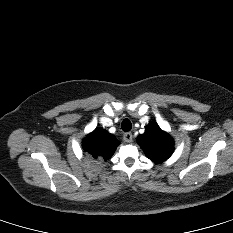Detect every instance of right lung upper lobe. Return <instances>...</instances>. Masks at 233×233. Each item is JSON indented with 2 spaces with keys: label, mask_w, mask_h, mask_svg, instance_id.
Instances as JSON below:
<instances>
[{
  "label": "right lung upper lobe",
  "mask_w": 233,
  "mask_h": 233,
  "mask_svg": "<svg viewBox=\"0 0 233 233\" xmlns=\"http://www.w3.org/2000/svg\"><path fill=\"white\" fill-rule=\"evenodd\" d=\"M83 150L89 158L96 161H107L114 154L118 142L114 135L103 128H96L83 140Z\"/></svg>",
  "instance_id": "1"
}]
</instances>
